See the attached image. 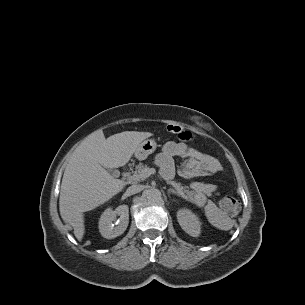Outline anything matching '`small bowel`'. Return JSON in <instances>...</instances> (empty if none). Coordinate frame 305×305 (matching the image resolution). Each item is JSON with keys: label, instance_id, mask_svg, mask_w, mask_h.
<instances>
[{"label": "small bowel", "instance_id": "obj_1", "mask_svg": "<svg viewBox=\"0 0 305 305\" xmlns=\"http://www.w3.org/2000/svg\"><path fill=\"white\" fill-rule=\"evenodd\" d=\"M189 138L190 134L186 133V136L181 139ZM174 157L192 159L205 172L214 173L220 169V164L215 158L190 148L183 140L171 141L166 143L155 157V163L160 167L161 175L166 180L174 177Z\"/></svg>", "mask_w": 305, "mask_h": 305}]
</instances>
